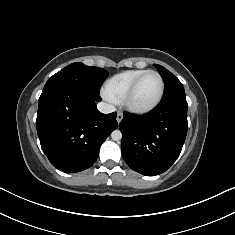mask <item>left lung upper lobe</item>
<instances>
[{
    "label": "left lung upper lobe",
    "mask_w": 235,
    "mask_h": 235,
    "mask_svg": "<svg viewBox=\"0 0 235 235\" xmlns=\"http://www.w3.org/2000/svg\"><path fill=\"white\" fill-rule=\"evenodd\" d=\"M155 67L159 71L165 84V93L163 99L185 96V90L175 75H173L170 71L161 65L155 64Z\"/></svg>",
    "instance_id": "obj_1"
}]
</instances>
